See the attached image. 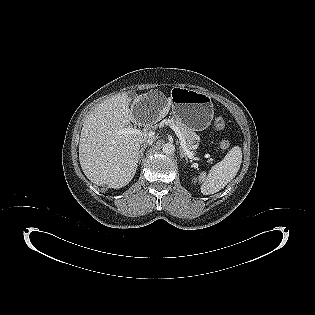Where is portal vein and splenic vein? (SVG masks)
Wrapping results in <instances>:
<instances>
[{"instance_id":"18ae733b","label":"portal vein and splenic vein","mask_w":315,"mask_h":315,"mask_svg":"<svg viewBox=\"0 0 315 315\" xmlns=\"http://www.w3.org/2000/svg\"><path fill=\"white\" fill-rule=\"evenodd\" d=\"M171 129L175 132V134L177 135V137L180 140V144H181V148L183 149V151L186 153V155L192 159L194 157V153H192L190 151V149L187 147L186 144V140L184 135L182 134L181 130L175 126V125H171L170 126ZM118 134L120 135H144L140 130L136 129V128H132V127H127V128H123L121 130L118 131ZM154 133L150 132L148 135L152 136ZM147 134H145L146 136Z\"/></svg>"}]
</instances>
